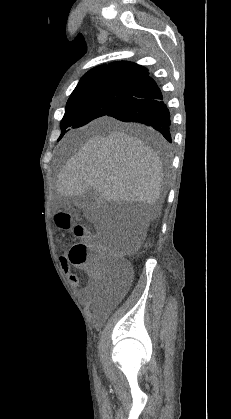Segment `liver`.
<instances>
[{"mask_svg":"<svg viewBox=\"0 0 231 419\" xmlns=\"http://www.w3.org/2000/svg\"><path fill=\"white\" fill-rule=\"evenodd\" d=\"M100 122L108 124L111 132L93 135L85 142L62 168L56 188L66 197L82 196L94 189L100 199L106 201L148 205L145 224L134 237L138 247L149 221L159 214L163 182L161 160L143 141L127 135L124 125L109 118Z\"/></svg>","mask_w":231,"mask_h":419,"instance_id":"1","label":"liver"}]
</instances>
